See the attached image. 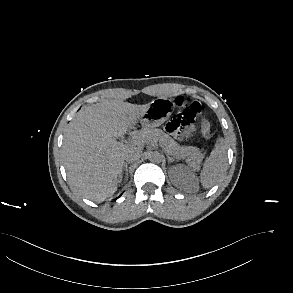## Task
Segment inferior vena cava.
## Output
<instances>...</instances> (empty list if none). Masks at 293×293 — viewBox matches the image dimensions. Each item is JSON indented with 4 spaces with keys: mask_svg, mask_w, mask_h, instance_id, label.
I'll use <instances>...</instances> for the list:
<instances>
[{
    "mask_svg": "<svg viewBox=\"0 0 293 293\" xmlns=\"http://www.w3.org/2000/svg\"><path fill=\"white\" fill-rule=\"evenodd\" d=\"M142 156V151L137 148L128 149L124 155L126 162L131 163L137 161Z\"/></svg>",
    "mask_w": 293,
    "mask_h": 293,
    "instance_id": "1",
    "label": "inferior vena cava"
}]
</instances>
